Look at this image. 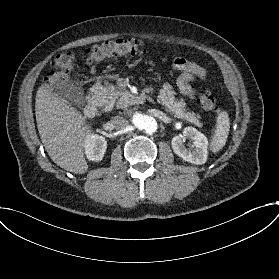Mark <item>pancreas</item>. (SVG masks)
I'll list each match as a JSON object with an SVG mask.
<instances>
[{
  "mask_svg": "<svg viewBox=\"0 0 279 279\" xmlns=\"http://www.w3.org/2000/svg\"><path fill=\"white\" fill-rule=\"evenodd\" d=\"M94 89L95 96L99 100L100 106L114 105L117 98L123 95L122 91H119L113 84L108 82H105L104 85L96 84ZM174 95L175 92L172 90V86L166 82L159 91L157 101L162 104L168 113L173 114L175 117L187 120L196 125L199 124L195 113L186 112L184 102L182 100H177Z\"/></svg>",
  "mask_w": 279,
  "mask_h": 279,
  "instance_id": "cf45deb5",
  "label": "pancreas"
}]
</instances>
